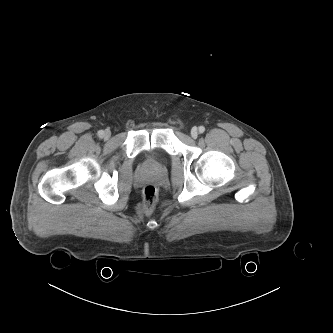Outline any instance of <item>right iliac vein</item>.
<instances>
[{"instance_id":"1","label":"right iliac vein","mask_w":333,"mask_h":333,"mask_svg":"<svg viewBox=\"0 0 333 333\" xmlns=\"http://www.w3.org/2000/svg\"><path fill=\"white\" fill-rule=\"evenodd\" d=\"M110 136H111V132H110V131H105V132H104L103 137H104L105 139H109Z\"/></svg>"}]
</instances>
